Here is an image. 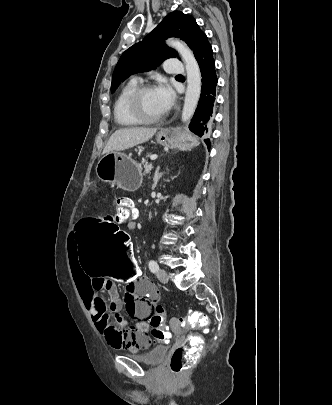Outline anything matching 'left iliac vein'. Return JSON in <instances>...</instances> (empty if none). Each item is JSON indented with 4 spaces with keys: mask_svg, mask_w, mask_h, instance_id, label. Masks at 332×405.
I'll return each instance as SVG.
<instances>
[{
    "mask_svg": "<svg viewBox=\"0 0 332 405\" xmlns=\"http://www.w3.org/2000/svg\"><path fill=\"white\" fill-rule=\"evenodd\" d=\"M156 275L159 281H161L162 283L168 282V274L164 269H159Z\"/></svg>",
    "mask_w": 332,
    "mask_h": 405,
    "instance_id": "obj_1",
    "label": "left iliac vein"
}]
</instances>
